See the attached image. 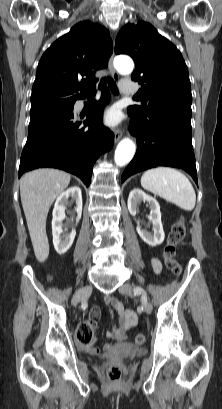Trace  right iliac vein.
<instances>
[{"label": "right iliac vein", "mask_w": 222, "mask_h": 409, "mask_svg": "<svg viewBox=\"0 0 222 409\" xmlns=\"http://www.w3.org/2000/svg\"><path fill=\"white\" fill-rule=\"evenodd\" d=\"M91 292H92V286L90 285L79 289L73 297L72 304L74 306L77 305L80 300L89 296Z\"/></svg>", "instance_id": "1"}]
</instances>
